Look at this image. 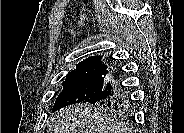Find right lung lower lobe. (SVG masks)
Returning a JSON list of instances; mask_svg holds the SVG:
<instances>
[{
	"mask_svg": "<svg viewBox=\"0 0 184 133\" xmlns=\"http://www.w3.org/2000/svg\"><path fill=\"white\" fill-rule=\"evenodd\" d=\"M120 70L111 68L104 74L105 86L97 97L91 102L92 104L113 103L115 105L128 104V92L124 89L120 80Z\"/></svg>",
	"mask_w": 184,
	"mask_h": 133,
	"instance_id": "98d812e1",
	"label": "right lung lower lobe"
}]
</instances>
